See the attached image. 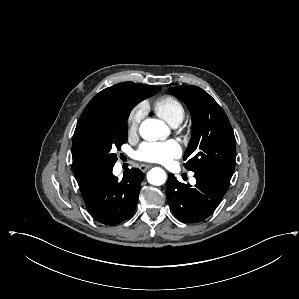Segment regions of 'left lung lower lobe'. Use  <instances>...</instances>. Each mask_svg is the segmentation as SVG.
Masks as SVG:
<instances>
[{
	"mask_svg": "<svg viewBox=\"0 0 299 299\" xmlns=\"http://www.w3.org/2000/svg\"><path fill=\"white\" fill-rule=\"evenodd\" d=\"M196 185L191 187L169 174L166 197L174 215L188 223L205 220L214 212L227 192L230 179L208 170L194 171Z\"/></svg>",
	"mask_w": 299,
	"mask_h": 299,
	"instance_id": "0a47b994",
	"label": "left lung lower lobe"
}]
</instances>
